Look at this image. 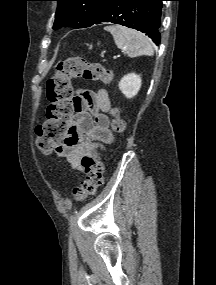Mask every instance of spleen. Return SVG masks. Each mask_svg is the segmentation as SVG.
<instances>
[{"mask_svg":"<svg viewBox=\"0 0 216 285\" xmlns=\"http://www.w3.org/2000/svg\"><path fill=\"white\" fill-rule=\"evenodd\" d=\"M104 29L112 34L117 47L125 51L129 57L154 54L151 42L144 34L119 25L106 26Z\"/></svg>","mask_w":216,"mask_h":285,"instance_id":"spleen-1","label":"spleen"}]
</instances>
